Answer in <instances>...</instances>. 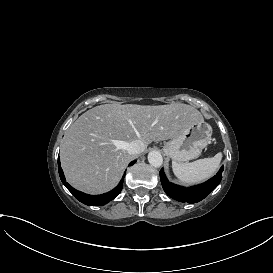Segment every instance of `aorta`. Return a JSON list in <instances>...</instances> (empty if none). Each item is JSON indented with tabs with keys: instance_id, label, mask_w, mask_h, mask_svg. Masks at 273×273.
<instances>
[{
	"instance_id": "1",
	"label": "aorta",
	"mask_w": 273,
	"mask_h": 273,
	"mask_svg": "<svg viewBox=\"0 0 273 273\" xmlns=\"http://www.w3.org/2000/svg\"><path fill=\"white\" fill-rule=\"evenodd\" d=\"M149 164L153 167H160L163 164V157L158 151H151L148 154Z\"/></svg>"
}]
</instances>
